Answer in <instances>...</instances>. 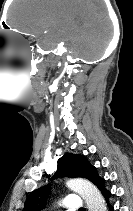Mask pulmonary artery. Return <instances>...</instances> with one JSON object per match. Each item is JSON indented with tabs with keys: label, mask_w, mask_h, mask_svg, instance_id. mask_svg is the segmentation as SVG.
Masks as SVG:
<instances>
[{
	"label": "pulmonary artery",
	"mask_w": 133,
	"mask_h": 211,
	"mask_svg": "<svg viewBox=\"0 0 133 211\" xmlns=\"http://www.w3.org/2000/svg\"><path fill=\"white\" fill-rule=\"evenodd\" d=\"M62 205L67 209L66 211H76L81 209L82 200L77 194H69L64 197Z\"/></svg>",
	"instance_id": "e3ab8cb5"
}]
</instances>
